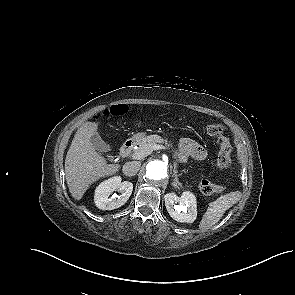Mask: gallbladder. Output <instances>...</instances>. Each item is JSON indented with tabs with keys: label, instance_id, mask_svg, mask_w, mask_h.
Returning <instances> with one entry per match:
<instances>
[{
	"label": "gallbladder",
	"instance_id": "1",
	"mask_svg": "<svg viewBox=\"0 0 295 295\" xmlns=\"http://www.w3.org/2000/svg\"><path fill=\"white\" fill-rule=\"evenodd\" d=\"M90 140L93 147L101 153L111 150L110 145H108L98 134H93Z\"/></svg>",
	"mask_w": 295,
	"mask_h": 295
}]
</instances>
